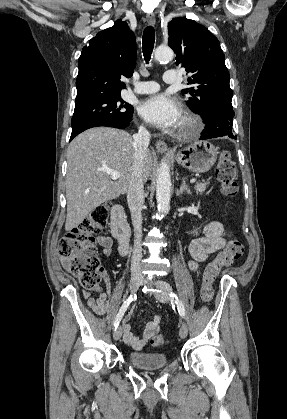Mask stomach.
Segmentation results:
<instances>
[{
    "label": "stomach",
    "instance_id": "0dacf381",
    "mask_svg": "<svg viewBox=\"0 0 287 419\" xmlns=\"http://www.w3.org/2000/svg\"><path fill=\"white\" fill-rule=\"evenodd\" d=\"M217 154V149L210 142L196 141L180 150L175 160L192 172L204 173L215 164Z\"/></svg>",
    "mask_w": 287,
    "mask_h": 419
}]
</instances>
